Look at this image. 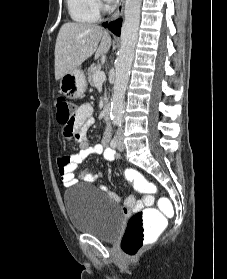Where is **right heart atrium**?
Here are the masks:
<instances>
[{"label": "right heart atrium", "mask_w": 227, "mask_h": 279, "mask_svg": "<svg viewBox=\"0 0 227 279\" xmlns=\"http://www.w3.org/2000/svg\"><path fill=\"white\" fill-rule=\"evenodd\" d=\"M92 2H93L94 7L97 10H100L103 8V4H102L101 0H92Z\"/></svg>", "instance_id": "right-heart-atrium-1"}]
</instances>
